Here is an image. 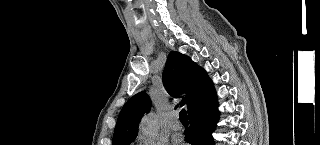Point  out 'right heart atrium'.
I'll return each instance as SVG.
<instances>
[{
  "instance_id": "1",
  "label": "right heart atrium",
  "mask_w": 320,
  "mask_h": 145,
  "mask_svg": "<svg viewBox=\"0 0 320 145\" xmlns=\"http://www.w3.org/2000/svg\"><path fill=\"white\" fill-rule=\"evenodd\" d=\"M164 142L163 140L150 138L145 135H139L137 138L138 145H164Z\"/></svg>"
}]
</instances>
